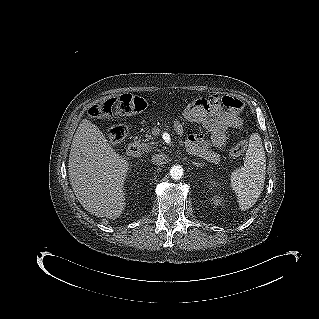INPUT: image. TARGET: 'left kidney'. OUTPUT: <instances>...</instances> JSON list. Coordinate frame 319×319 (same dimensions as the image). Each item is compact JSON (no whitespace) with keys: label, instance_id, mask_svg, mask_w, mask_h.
<instances>
[{"label":"left kidney","instance_id":"5707ae66","mask_svg":"<svg viewBox=\"0 0 319 319\" xmlns=\"http://www.w3.org/2000/svg\"><path fill=\"white\" fill-rule=\"evenodd\" d=\"M212 201H213V204L216 205V206L222 204L221 198L218 197V196H214V198L212 199Z\"/></svg>","mask_w":319,"mask_h":319}]
</instances>
